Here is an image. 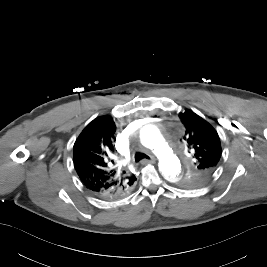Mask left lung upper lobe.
<instances>
[{
	"label": "left lung upper lobe",
	"mask_w": 267,
	"mask_h": 267,
	"mask_svg": "<svg viewBox=\"0 0 267 267\" xmlns=\"http://www.w3.org/2000/svg\"><path fill=\"white\" fill-rule=\"evenodd\" d=\"M185 127L184 141L193 154V163L180 184L195 188L205 184L214 174L221 157V144L216 130L192 110L179 114Z\"/></svg>",
	"instance_id": "5c2ea615"
}]
</instances>
